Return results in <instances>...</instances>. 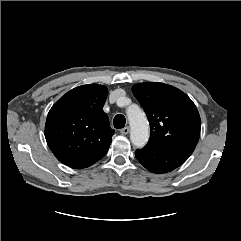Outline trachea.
Returning <instances> with one entry per match:
<instances>
[{"label":"trachea","mask_w":241,"mask_h":241,"mask_svg":"<svg viewBox=\"0 0 241 241\" xmlns=\"http://www.w3.org/2000/svg\"><path fill=\"white\" fill-rule=\"evenodd\" d=\"M125 123H126V119L122 114H117L114 117L113 125H114L115 128H117V129L124 128Z\"/></svg>","instance_id":"obj_1"}]
</instances>
